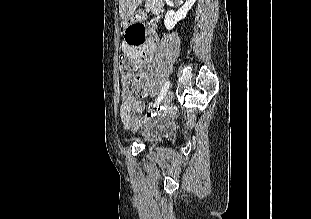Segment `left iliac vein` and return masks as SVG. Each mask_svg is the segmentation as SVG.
I'll return each mask as SVG.
<instances>
[{
    "instance_id": "obj_1",
    "label": "left iliac vein",
    "mask_w": 311,
    "mask_h": 219,
    "mask_svg": "<svg viewBox=\"0 0 311 219\" xmlns=\"http://www.w3.org/2000/svg\"><path fill=\"white\" fill-rule=\"evenodd\" d=\"M172 99H173V92L172 91H168L167 94L165 95L164 97V100H163V104H162V107L163 108H167L170 103L172 102ZM153 120L151 119L146 125L145 127H148L152 124Z\"/></svg>"
}]
</instances>
